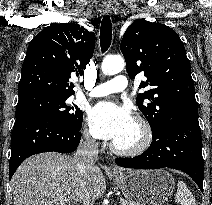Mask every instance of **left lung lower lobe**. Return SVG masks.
Returning <instances> with one entry per match:
<instances>
[{"mask_svg": "<svg viewBox=\"0 0 212 205\" xmlns=\"http://www.w3.org/2000/svg\"><path fill=\"white\" fill-rule=\"evenodd\" d=\"M201 143L198 110H184L175 114L160 134L153 135V141L144 153L133 158H117L115 162L126 168L182 170L203 192Z\"/></svg>", "mask_w": 212, "mask_h": 205, "instance_id": "1", "label": "left lung lower lobe"}]
</instances>
